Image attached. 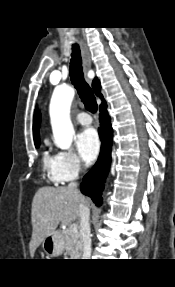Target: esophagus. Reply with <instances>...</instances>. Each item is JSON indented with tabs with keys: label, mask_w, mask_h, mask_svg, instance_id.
<instances>
[{
	"label": "esophagus",
	"mask_w": 175,
	"mask_h": 287,
	"mask_svg": "<svg viewBox=\"0 0 175 287\" xmlns=\"http://www.w3.org/2000/svg\"><path fill=\"white\" fill-rule=\"evenodd\" d=\"M79 44H80L81 54H82V62H83L82 65H83L84 77H85V80L90 84L95 75L93 71H90V67H91L90 55H89L85 42L83 40H80Z\"/></svg>",
	"instance_id": "34e87169"
}]
</instances>
